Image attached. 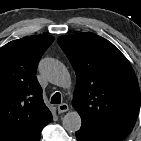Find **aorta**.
<instances>
[{"mask_svg": "<svg viewBox=\"0 0 141 141\" xmlns=\"http://www.w3.org/2000/svg\"><path fill=\"white\" fill-rule=\"evenodd\" d=\"M40 72L54 85L68 88L71 85L70 74L66 66L57 59L44 58L39 63ZM63 127L74 133L81 128V117L77 111H69L63 118Z\"/></svg>", "mask_w": 141, "mask_h": 141, "instance_id": "1", "label": "aorta"}]
</instances>
